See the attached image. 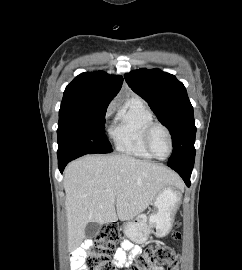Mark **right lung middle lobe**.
I'll return each instance as SVG.
<instances>
[{"instance_id":"right-lung-middle-lobe-1","label":"right lung middle lobe","mask_w":242,"mask_h":270,"mask_svg":"<svg viewBox=\"0 0 242 270\" xmlns=\"http://www.w3.org/2000/svg\"><path fill=\"white\" fill-rule=\"evenodd\" d=\"M106 110L107 107L59 110L58 162L84 154L112 152L104 133Z\"/></svg>"}]
</instances>
